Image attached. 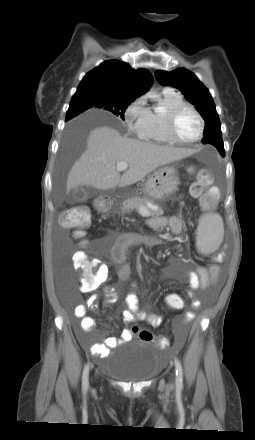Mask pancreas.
I'll return each mask as SVG.
<instances>
[{"instance_id": "pancreas-1", "label": "pancreas", "mask_w": 255, "mask_h": 440, "mask_svg": "<svg viewBox=\"0 0 255 440\" xmlns=\"http://www.w3.org/2000/svg\"><path fill=\"white\" fill-rule=\"evenodd\" d=\"M153 203V200L149 199L148 197H132L130 199H127L126 201L123 202V205L121 207V214L124 213H129L133 210H136L137 212L140 213L139 208L145 207L148 212H149V216L152 217H160L164 214V211L159 208L158 206L156 207V209H152L148 206V203Z\"/></svg>"}]
</instances>
